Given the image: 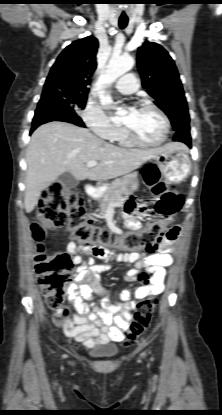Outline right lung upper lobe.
Masks as SVG:
<instances>
[{"mask_svg":"<svg viewBox=\"0 0 222 415\" xmlns=\"http://www.w3.org/2000/svg\"><path fill=\"white\" fill-rule=\"evenodd\" d=\"M98 40L93 36L74 41L58 56L44 84L43 95L70 90L88 94L91 76L96 69Z\"/></svg>","mask_w":222,"mask_h":415,"instance_id":"obj_1","label":"right lung upper lobe"}]
</instances>
